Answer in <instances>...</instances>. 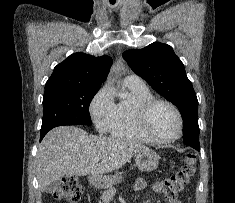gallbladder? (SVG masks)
I'll list each match as a JSON object with an SVG mask.
<instances>
[{"instance_id": "gallbladder-1", "label": "gallbladder", "mask_w": 235, "mask_h": 203, "mask_svg": "<svg viewBox=\"0 0 235 203\" xmlns=\"http://www.w3.org/2000/svg\"><path fill=\"white\" fill-rule=\"evenodd\" d=\"M60 186V182L59 180L51 183L47 188H46V192L47 193H52L54 192L56 189H58V187Z\"/></svg>"}]
</instances>
